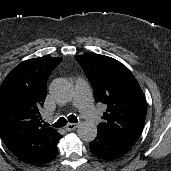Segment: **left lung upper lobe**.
<instances>
[{
    "instance_id": "1",
    "label": "left lung upper lobe",
    "mask_w": 171,
    "mask_h": 171,
    "mask_svg": "<svg viewBox=\"0 0 171 171\" xmlns=\"http://www.w3.org/2000/svg\"><path fill=\"white\" fill-rule=\"evenodd\" d=\"M75 58L92 84L96 102L107 105L98 131L132 147L142 133L147 112L137 80L111 57L87 53Z\"/></svg>"
}]
</instances>
